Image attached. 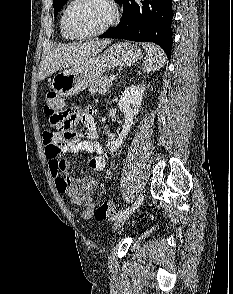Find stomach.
Returning a JSON list of instances; mask_svg holds the SVG:
<instances>
[{
	"label": "stomach",
	"instance_id": "0dacf381",
	"mask_svg": "<svg viewBox=\"0 0 233 294\" xmlns=\"http://www.w3.org/2000/svg\"><path fill=\"white\" fill-rule=\"evenodd\" d=\"M142 56L136 44L117 42L103 53L57 73L51 81V87L61 97H71L92 85L106 71L130 66Z\"/></svg>",
	"mask_w": 233,
	"mask_h": 294
}]
</instances>
